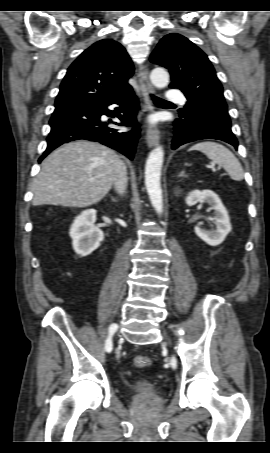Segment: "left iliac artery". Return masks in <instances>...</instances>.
<instances>
[{
	"mask_svg": "<svg viewBox=\"0 0 270 453\" xmlns=\"http://www.w3.org/2000/svg\"><path fill=\"white\" fill-rule=\"evenodd\" d=\"M171 364H172V367H173V368L176 367V360H175V358L172 359V363H171Z\"/></svg>",
	"mask_w": 270,
	"mask_h": 453,
	"instance_id": "1",
	"label": "left iliac artery"
}]
</instances>
